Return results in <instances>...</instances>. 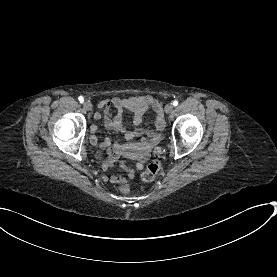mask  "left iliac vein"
Segmentation results:
<instances>
[{"label": "left iliac vein", "instance_id": "obj_1", "mask_svg": "<svg viewBox=\"0 0 277 277\" xmlns=\"http://www.w3.org/2000/svg\"><path fill=\"white\" fill-rule=\"evenodd\" d=\"M173 111V105L172 104H167L166 106H165V112L167 113V114H169V113H171Z\"/></svg>", "mask_w": 277, "mask_h": 277}]
</instances>
